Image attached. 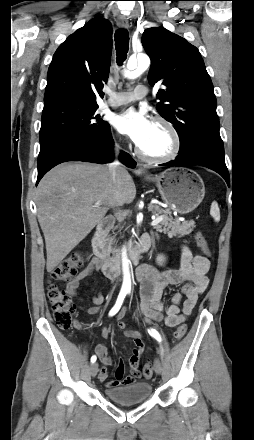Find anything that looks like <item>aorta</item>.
<instances>
[{
  "mask_svg": "<svg viewBox=\"0 0 254 440\" xmlns=\"http://www.w3.org/2000/svg\"><path fill=\"white\" fill-rule=\"evenodd\" d=\"M150 65V59L145 54H140L137 56V59L135 61L129 60L127 64L128 70H131V77L136 78L140 76L144 71L147 70V68ZM123 273H124V281H123V288L129 289L131 286L130 282V274H129V260L127 259L126 255H123Z\"/></svg>",
  "mask_w": 254,
  "mask_h": 440,
  "instance_id": "aorta-1",
  "label": "aorta"
}]
</instances>
